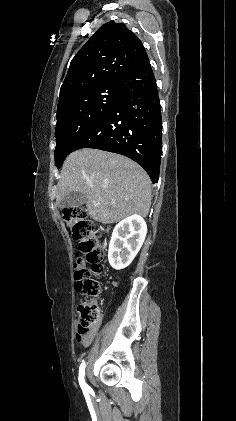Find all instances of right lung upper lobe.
I'll list each match as a JSON object with an SVG mask.
<instances>
[{
    "instance_id": "obj_1",
    "label": "right lung upper lobe",
    "mask_w": 236,
    "mask_h": 421,
    "mask_svg": "<svg viewBox=\"0 0 236 421\" xmlns=\"http://www.w3.org/2000/svg\"><path fill=\"white\" fill-rule=\"evenodd\" d=\"M149 62L139 38L122 23L102 25L70 63L58 106L89 91L118 86L126 75Z\"/></svg>"
}]
</instances>
